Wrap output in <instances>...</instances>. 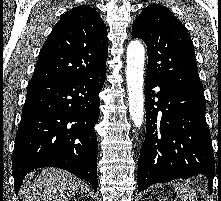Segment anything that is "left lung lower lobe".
<instances>
[{"label":"left lung lower lobe","mask_w":221,"mask_h":201,"mask_svg":"<svg viewBox=\"0 0 221 201\" xmlns=\"http://www.w3.org/2000/svg\"><path fill=\"white\" fill-rule=\"evenodd\" d=\"M156 86L160 87L158 93L154 92ZM145 106L146 136L138 160V191L201 174L207 177L211 193L215 163L204 93L165 86L147 75Z\"/></svg>","instance_id":"obj_1"}]
</instances>
